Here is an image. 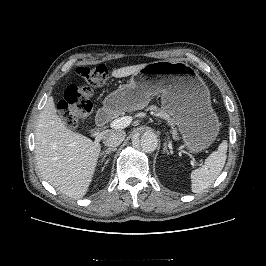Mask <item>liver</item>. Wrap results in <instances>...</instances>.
<instances>
[{"label": "liver", "mask_w": 266, "mask_h": 266, "mask_svg": "<svg viewBox=\"0 0 266 266\" xmlns=\"http://www.w3.org/2000/svg\"><path fill=\"white\" fill-rule=\"evenodd\" d=\"M145 65L115 69L112 76L127 77ZM104 134L100 133L92 141L71 131L57 115L53 97H48L35 130V157L43 178L61 194L82 198L92 182Z\"/></svg>", "instance_id": "6515ba94"}]
</instances>
